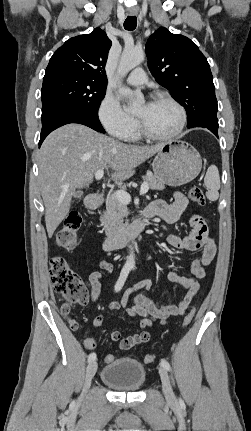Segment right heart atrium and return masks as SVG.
<instances>
[{"mask_svg":"<svg viewBox=\"0 0 251 431\" xmlns=\"http://www.w3.org/2000/svg\"><path fill=\"white\" fill-rule=\"evenodd\" d=\"M98 118L108 133L121 139H128L137 127L135 118L127 113L118 99L111 94H106L101 100Z\"/></svg>","mask_w":251,"mask_h":431,"instance_id":"1","label":"right heart atrium"}]
</instances>
